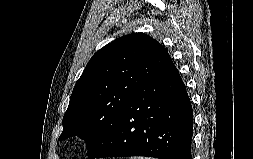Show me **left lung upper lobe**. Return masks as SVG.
<instances>
[{"label":"left lung upper lobe","instance_id":"1","mask_svg":"<svg viewBox=\"0 0 253 159\" xmlns=\"http://www.w3.org/2000/svg\"><path fill=\"white\" fill-rule=\"evenodd\" d=\"M171 62L165 48L143 33L120 37L97 51L72 91L59 140L79 134L91 159L124 107Z\"/></svg>","mask_w":253,"mask_h":159}]
</instances>
